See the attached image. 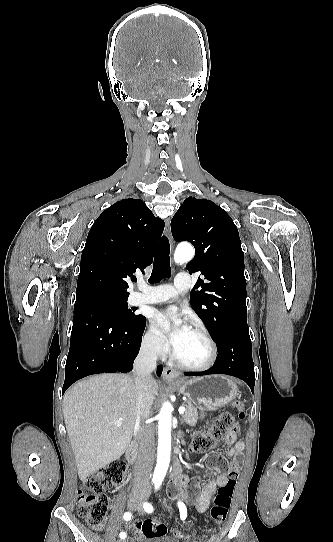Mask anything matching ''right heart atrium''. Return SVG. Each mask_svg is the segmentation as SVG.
Masks as SVG:
<instances>
[{"mask_svg": "<svg viewBox=\"0 0 333 542\" xmlns=\"http://www.w3.org/2000/svg\"><path fill=\"white\" fill-rule=\"evenodd\" d=\"M142 346L144 351L152 357H163L166 355V342L152 321L149 322L143 334Z\"/></svg>", "mask_w": 333, "mask_h": 542, "instance_id": "obj_1", "label": "right heart atrium"}]
</instances>
